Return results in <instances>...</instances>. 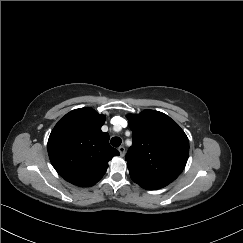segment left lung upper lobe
I'll return each instance as SVG.
<instances>
[{"label": "left lung upper lobe", "mask_w": 243, "mask_h": 243, "mask_svg": "<svg viewBox=\"0 0 243 243\" xmlns=\"http://www.w3.org/2000/svg\"><path fill=\"white\" fill-rule=\"evenodd\" d=\"M133 144L126 154L131 179L147 189L171 183L189 154L184 131L169 116L154 110L127 116Z\"/></svg>", "instance_id": "obj_1"}]
</instances>
